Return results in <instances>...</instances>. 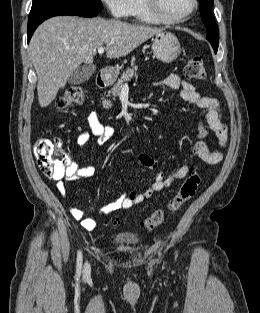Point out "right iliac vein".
Segmentation results:
<instances>
[{"label":"right iliac vein","instance_id":"right-iliac-vein-1","mask_svg":"<svg viewBox=\"0 0 260 313\" xmlns=\"http://www.w3.org/2000/svg\"><path fill=\"white\" fill-rule=\"evenodd\" d=\"M89 274H90V265L88 262H86L83 269V275L84 277H87Z\"/></svg>","mask_w":260,"mask_h":313}]
</instances>
